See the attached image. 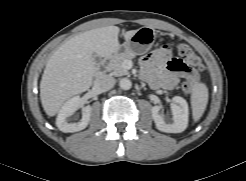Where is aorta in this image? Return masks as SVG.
<instances>
[{"label":"aorta","mask_w":246,"mask_h":181,"mask_svg":"<svg viewBox=\"0 0 246 181\" xmlns=\"http://www.w3.org/2000/svg\"><path fill=\"white\" fill-rule=\"evenodd\" d=\"M119 86H120V88L123 89V90H129V89H131V87H132V82H131V80L128 79V78H122V79H120V81H119Z\"/></svg>","instance_id":"obj_1"}]
</instances>
